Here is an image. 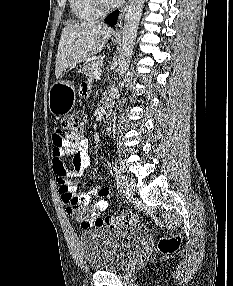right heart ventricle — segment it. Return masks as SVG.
Returning <instances> with one entry per match:
<instances>
[{"label":"right heart ventricle","instance_id":"obj_1","mask_svg":"<svg viewBox=\"0 0 233 286\" xmlns=\"http://www.w3.org/2000/svg\"><path fill=\"white\" fill-rule=\"evenodd\" d=\"M74 16L80 21H93L100 16L92 0H69Z\"/></svg>","mask_w":233,"mask_h":286}]
</instances>
